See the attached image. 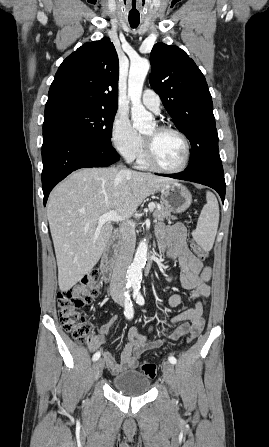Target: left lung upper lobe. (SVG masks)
<instances>
[{"label": "left lung upper lobe", "instance_id": "obj_1", "mask_svg": "<svg viewBox=\"0 0 269 447\" xmlns=\"http://www.w3.org/2000/svg\"><path fill=\"white\" fill-rule=\"evenodd\" d=\"M150 84L175 126L191 143L186 172L221 164L213 103L205 77L179 47L157 43L150 55Z\"/></svg>", "mask_w": 269, "mask_h": 447}]
</instances>
